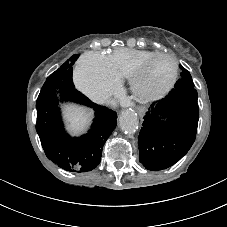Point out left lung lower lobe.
<instances>
[{
	"label": "left lung lower lobe",
	"instance_id": "1",
	"mask_svg": "<svg viewBox=\"0 0 227 227\" xmlns=\"http://www.w3.org/2000/svg\"><path fill=\"white\" fill-rule=\"evenodd\" d=\"M198 94L194 87H175L154 102L138 137L139 160L149 170L166 169L178 162L196 138Z\"/></svg>",
	"mask_w": 227,
	"mask_h": 227
}]
</instances>
